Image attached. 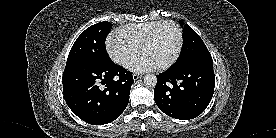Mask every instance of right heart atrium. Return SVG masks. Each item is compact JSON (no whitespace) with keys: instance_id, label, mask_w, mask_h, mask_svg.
Wrapping results in <instances>:
<instances>
[{"instance_id":"1","label":"right heart atrium","mask_w":276,"mask_h":138,"mask_svg":"<svg viewBox=\"0 0 276 138\" xmlns=\"http://www.w3.org/2000/svg\"><path fill=\"white\" fill-rule=\"evenodd\" d=\"M106 48L110 58L125 68H128L140 53V48L118 34L108 37Z\"/></svg>"}]
</instances>
